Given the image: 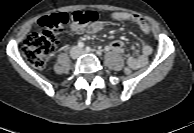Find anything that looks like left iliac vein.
I'll list each match as a JSON object with an SVG mask.
<instances>
[{
    "label": "left iliac vein",
    "instance_id": "1",
    "mask_svg": "<svg viewBox=\"0 0 194 133\" xmlns=\"http://www.w3.org/2000/svg\"><path fill=\"white\" fill-rule=\"evenodd\" d=\"M80 52H81V54H84V53H86V51H85V50H81Z\"/></svg>",
    "mask_w": 194,
    "mask_h": 133
}]
</instances>
